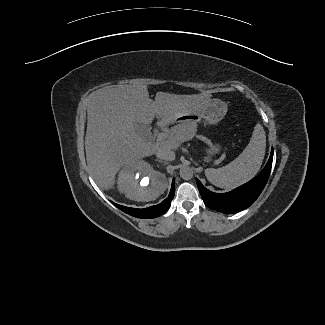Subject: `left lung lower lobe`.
Masks as SVG:
<instances>
[{
  "label": "left lung lower lobe",
  "instance_id": "obj_1",
  "mask_svg": "<svg viewBox=\"0 0 325 325\" xmlns=\"http://www.w3.org/2000/svg\"><path fill=\"white\" fill-rule=\"evenodd\" d=\"M273 148L264 169L252 180L227 193H214L206 189L196 179L199 192L204 203L216 211L232 214L249 207L260 195L265 187L272 167Z\"/></svg>",
  "mask_w": 325,
  "mask_h": 325
}]
</instances>
